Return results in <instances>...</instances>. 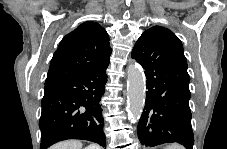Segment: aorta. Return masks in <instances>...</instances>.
<instances>
[{"label": "aorta", "instance_id": "obj_1", "mask_svg": "<svg viewBox=\"0 0 227 149\" xmlns=\"http://www.w3.org/2000/svg\"><path fill=\"white\" fill-rule=\"evenodd\" d=\"M146 80L142 69L130 65L127 69V103L132 121L136 122L142 115L145 105Z\"/></svg>", "mask_w": 227, "mask_h": 149}]
</instances>
